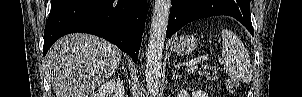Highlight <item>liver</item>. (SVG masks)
I'll use <instances>...</instances> for the list:
<instances>
[{
  "label": "liver",
  "instance_id": "6515ba94",
  "mask_svg": "<svg viewBox=\"0 0 302 97\" xmlns=\"http://www.w3.org/2000/svg\"><path fill=\"white\" fill-rule=\"evenodd\" d=\"M122 52L110 42L88 34L60 38L45 63L56 97H89L117 70Z\"/></svg>",
  "mask_w": 302,
  "mask_h": 97
}]
</instances>
